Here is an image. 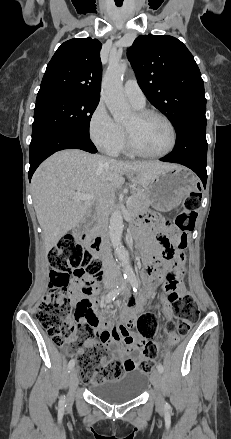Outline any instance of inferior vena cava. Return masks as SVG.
<instances>
[{
  "instance_id": "1",
  "label": "inferior vena cava",
  "mask_w": 231,
  "mask_h": 439,
  "mask_svg": "<svg viewBox=\"0 0 231 439\" xmlns=\"http://www.w3.org/2000/svg\"><path fill=\"white\" fill-rule=\"evenodd\" d=\"M103 212H104V205L103 202L100 200L97 202L96 214L99 222L101 223L103 222ZM102 259L107 268V273L105 277L119 276L116 275L115 273L116 264L111 254L110 246L106 240L102 244Z\"/></svg>"
}]
</instances>
